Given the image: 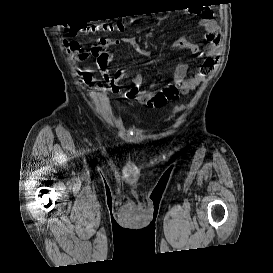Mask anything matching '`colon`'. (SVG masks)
Listing matches in <instances>:
<instances>
[{"instance_id":"colon-1","label":"colon","mask_w":273,"mask_h":273,"mask_svg":"<svg viewBox=\"0 0 273 273\" xmlns=\"http://www.w3.org/2000/svg\"><path fill=\"white\" fill-rule=\"evenodd\" d=\"M110 29V30H123L124 25L121 22L117 23H110V24H104L102 26H96V25H74L71 27V31L74 34H77L81 31H88V32H95L99 29ZM64 47L66 48L70 60L74 64H80L87 58V53L80 47V45L76 42H72L69 40L64 41ZM79 75L81 77V87L83 89H88L92 86H100L101 84L97 81H95L92 78V75L90 72H79ZM183 106H179L175 108V111H179L182 109Z\"/></svg>"}]
</instances>
